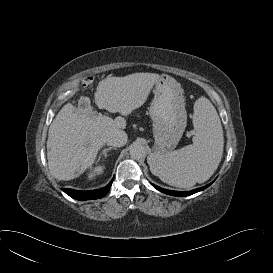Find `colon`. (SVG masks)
<instances>
[{
    "label": "colon",
    "instance_id": "1",
    "mask_svg": "<svg viewBox=\"0 0 273 273\" xmlns=\"http://www.w3.org/2000/svg\"><path fill=\"white\" fill-rule=\"evenodd\" d=\"M88 85H89V82H88L87 80H84V81L82 82V87H83V88L88 87Z\"/></svg>",
    "mask_w": 273,
    "mask_h": 273
}]
</instances>
